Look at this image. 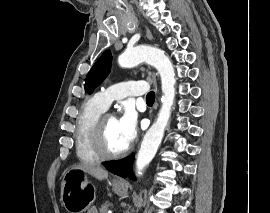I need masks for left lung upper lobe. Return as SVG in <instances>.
<instances>
[{
  "label": "left lung upper lobe",
  "instance_id": "1",
  "mask_svg": "<svg viewBox=\"0 0 270 213\" xmlns=\"http://www.w3.org/2000/svg\"><path fill=\"white\" fill-rule=\"evenodd\" d=\"M112 55L111 51H105L88 73L85 81V91L92 93L100 85L110 72Z\"/></svg>",
  "mask_w": 270,
  "mask_h": 213
}]
</instances>
